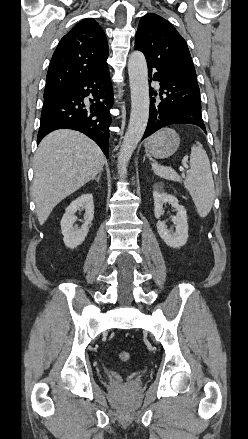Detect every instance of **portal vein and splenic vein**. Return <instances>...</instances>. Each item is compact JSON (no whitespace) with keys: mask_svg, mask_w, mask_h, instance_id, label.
Here are the masks:
<instances>
[{"mask_svg":"<svg viewBox=\"0 0 248 439\" xmlns=\"http://www.w3.org/2000/svg\"><path fill=\"white\" fill-rule=\"evenodd\" d=\"M187 167V166H186ZM184 170V168L183 167H180V171H183Z\"/></svg>","mask_w":248,"mask_h":439,"instance_id":"portal-vein-and-splenic-vein-1","label":"portal vein and splenic vein"}]
</instances>
